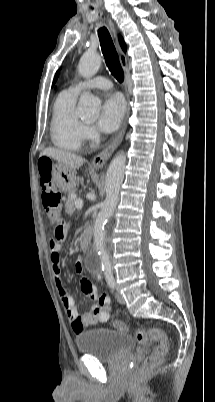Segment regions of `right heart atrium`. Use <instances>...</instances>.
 Here are the masks:
<instances>
[{
	"instance_id": "1",
	"label": "right heart atrium",
	"mask_w": 215,
	"mask_h": 402,
	"mask_svg": "<svg viewBox=\"0 0 215 402\" xmlns=\"http://www.w3.org/2000/svg\"><path fill=\"white\" fill-rule=\"evenodd\" d=\"M82 134L83 139L89 141H96L99 137L97 130L94 127L88 125H84Z\"/></svg>"
}]
</instances>
